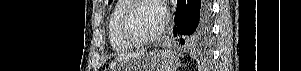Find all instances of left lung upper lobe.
<instances>
[{"label":"left lung upper lobe","mask_w":301,"mask_h":71,"mask_svg":"<svg viewBox=\"0 0 301 71\" xmlns=\"http://www.w3.org/2000/svg\"><path fill=\"white\" fill-rule=\"evenodd\" d=\"M112 2V0H109V3H111Z\"/></svg>","instance_id":"left-lung-upper-lobe-1"}]
</instances>
